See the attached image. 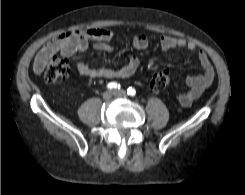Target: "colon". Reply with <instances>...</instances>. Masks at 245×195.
Masks as SVG:
<instances>
[{"label":"colon","mask_w":245,"mask_h":195,"mask_svg":"<svg viewBox=\"0 0 245 195\" xmlns=\"http://www.w3.org/2000/svg\"><path fill=\"white\" fill-rule=\"evenodd\" d=\"M70 73L69 60L66 56L52 55L44 70V78L48 82H55L65 79ZM170 82V74L166 70L158 71L152 74L150 87L154 91L163 90Z\"/></svg>","instance_id":"obj_1"}]
</instances>
